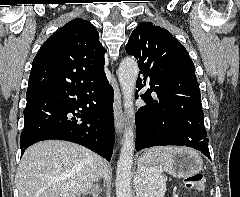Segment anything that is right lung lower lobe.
Segmentation results:
<instances>
[{
	"instance_id": "1",
	"label": "right lung lower lobe",
	"mask_w": 240,
	"mask_h": 197,
	"mask_svg": "<svg viewBox=\"0 0 240 197\" xmlns=\"http://www.w3.org/2000/svg\"><path fill=\"white\" fill-rule=\"evenodd\" d=\"M113 96L106 75L82 85H54L27 93L21 155L36 142L58 139L83 145L110 161L115 140Z\"/></svg>"
}]
</instances>
